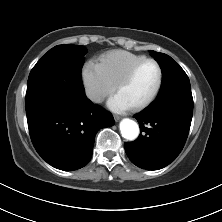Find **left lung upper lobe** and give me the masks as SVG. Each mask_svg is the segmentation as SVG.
Here are the masks:
<instances>
[{
    "instance_id": "obj_1",
    "label": "left lung upper lobe",
    "mask_w": 222,
    "mask_h": 222,
    "mask_svg": "<svg viewBox=\"0 0 222 222\" xmlns=\"http://www.w3.org/2000/svg\"><path fill=\"white\" fill-rule=\"evenodd\" d=\"M149 52L162 70V84L158 97L170 92H191L187 74L170 56L152 50Z\"/></svg>"
}]
</instances>
